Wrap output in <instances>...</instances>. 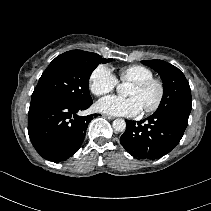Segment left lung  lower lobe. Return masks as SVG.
Instances as JSON below:
<instances>
[{
    "mask_svg": "<svg viewBox=\"0 0 211 211\" xmlns=\"http://www.w3.org/2000/svg\"><path fill=\"white\" fill-rule=\"evenodd\" d=\"M188 117L173 110L155 112L141 121L126 120L120 137L122 146L134 157L157 159L173 150L180 142Z\"/></svg>",
    "mask_w": 211,
    "mask_h": 211,
    "instance_id": "obj_1",
    "label": "left lung lower lobe"
}]
</instances>
